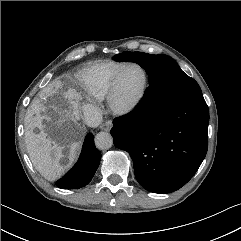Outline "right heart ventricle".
I'll use <instances>...</instances> for the list:
<instances>
[{
  "label": "right heart ventricle",
  "mask_w": 241,
  "mask_h": 241,
  "mask_svg": "<svg viewBox=\"0 0 241 241\" xmlns=\"http://www.w3.org/2000/svg\"><path fill=\"white\" fill-rule=\"evenodd\" d=\"M124 64L115 61H97L85 65L79 71L78 80L87 96L93 100L104 99L113 76Z\"/></svg>",
  "instance_id": "right-heart-ventricle-1"
}]
</instances>
